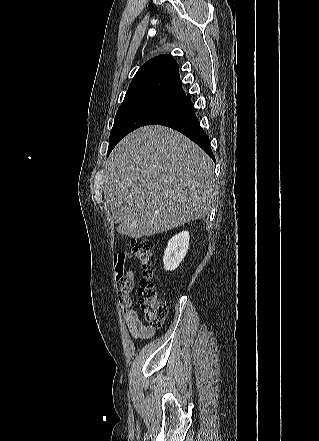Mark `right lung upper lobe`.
Listing matches in <instances>:
<instances>
[{
	"label": "right lung upper lobe",
	"instance_id": "1",
	"mask_svg": "<svg viewBox=\"0 0 319 441\" xmlns=\"http://www.w3.org/2000/svg\"><path fill=\"white\" fill-rule=\"evenodd\" d=\"M185 96L177 62L171 55L163 54L150 59L139 68L124 101L153 98L176 104Z\"/></svg>",
	"mask_w": 319,
	"mask_h": 441
}]
</instances>
